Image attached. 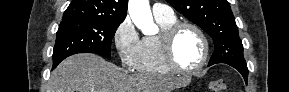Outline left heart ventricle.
<instances>
[{"label": "left heart ventricle", "instance_id": "1", "mask_svg": "<svg viewBox=\"0 0 289 92\" xmlns=\"http://www.w3.org/2000/svg\"><path fill=\"white\" fill-rule=\"evenodd\" d=\"M173 52L179 66L185 69H192L202 59L203 44L194 30L185 28L177 35Z\"/></svg>", "mask_w": 289, "mask_h": 92}]
</instances>
